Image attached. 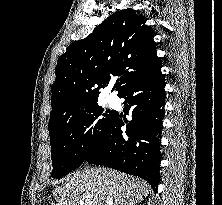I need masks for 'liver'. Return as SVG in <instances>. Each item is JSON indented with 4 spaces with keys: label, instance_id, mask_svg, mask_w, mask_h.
<instances>
[{
    "label": "liver",
    "instance_id": "obj_1",
    "mask_svg": "<svg viewBox=\"0 0 222 205\" xmlns=\"http://www.w3.org/2000/svg\"><path fill=\"white\" fill-rule=\"evenodd\" d=\"M150 189L139 178L111 169L91 168L67 176L53 194L56 205H106L110 196L114 205H136L148 196Z\"/></svg>",
    "mask_w": 222,
    "mask_h": 205
}]
</instances>
